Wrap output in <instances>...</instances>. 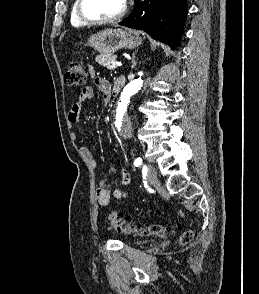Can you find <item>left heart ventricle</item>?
<instances>
[{
	"label": "left heart ventricle",
	"instance_id": "left-heart-ventricle-1",
	"mask_svg": "<svg viewBox=\"0 0 259 294\" xmlns=\"http://www.w3.org/2000/svg\"><path fill=\"white\" fill-rule=\"evenodd\" d=\"M124 0H85L84 12L93 19H105L118 14L123 8Z\"/></svg>",
	"mask_w": 259,
	"mask_h": 294
}]
</instances>
